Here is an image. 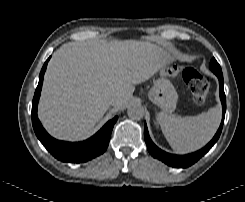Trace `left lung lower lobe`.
<instances>
[{
	"label": "left lung lower lobe",
	"mask_w": 245,
	"mask_h": 202,
	"mask_svg": "<svg viewBox=\"0 0 245 202\" xmlns=\"http://www.w3.org/2000/svg\"><path fill=\"white\" fill-rule=\"evenodd\" d=\"M216 76L219 79V86H220L219 94H220V99H221V103H222L223 114H222V121H221L220 127H219L218 131L216 132L215 136L213 137V139L204 148H202L201 150H199L197 152L187 154V155H183V156L169 154V153H166V152L162 151L161 149H159L151 141V139L149 137L148 130H147V126L145 124L144 139H145L148 151L150 152V154L154 158H157V159L163 161L164 163H166L167 165L172 166V167L186 168V167L191 166L195 162H197L217 142V140L221 134L223 123H224V117H225V112H226V97H225L224 87H223V75H216Z\"/></svg>",
	"instance_id": "0a47b994"
}]
</instances>
